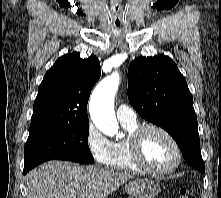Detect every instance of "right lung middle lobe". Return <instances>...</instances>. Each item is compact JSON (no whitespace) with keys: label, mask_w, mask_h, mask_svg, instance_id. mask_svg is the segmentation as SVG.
<instances>
[{"label":"right lung middle lobe","mask_w":221,"mask_h":198,"mask_svg":"<svg viewBox=\"0 0 221 198\" xmlns=\"http://www.w3.org/2000/svg\"><path fill=\"white\" fill-rule=\"evenodd\" d=\"M88 133L89 122L31 123L24 149V170H31L51 159L93 163L94 159L87 141Z\"/></svg>","instance_id":"right-lung-middle-lobe-1"}]
</instances>
